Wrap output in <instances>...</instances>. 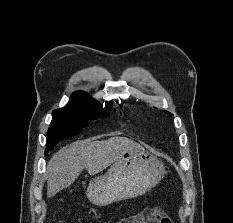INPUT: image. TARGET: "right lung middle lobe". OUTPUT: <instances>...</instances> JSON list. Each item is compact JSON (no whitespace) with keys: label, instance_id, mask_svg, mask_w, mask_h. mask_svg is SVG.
<instances>
[{"label":"right lung middle lobe","instance_id":"dd1d6c3e","mask_svg":"<svg viewBox=\"0 0 233 223\" xmlns=\"http://www.w3.org/2000/svg\"><path fill=\"white\" fill-rule=\"evenodd\" d=\"M112 106L67 104L53 111L48 129L46 153L64 138L73 136L88 126L89 122L109 114Z\"/></svg>","mask_w":233,"mask_h":223}]
</instances>
